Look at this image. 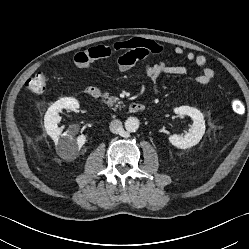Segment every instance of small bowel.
I'll use <instances>...</instances> for the list:
<instances>
[{"label": "small bowel", "mask_w": 249, "mask_h": 249, "mask_svg": "<svg viewBox=\"0 0 249 249\" xmlns=\"http://www.w3.org/2000/svg\"><path fill=\"white\" fill-rule=\"evenodd\" d=\"M163 51V47L153 40L134 38L126 41H117L109 46H96L79 52L75 55V63L80 71L87 72L91 64L98 59H106L113 54H118L117 66L119 71L125 72L132 68L137 62L147 59L150 55H157ZM174 53L182 55V47H175ZM189 62H194L200 69V74L195 77L199 85H207L214 77V71L207 64L204 55H197L194 52L185 54ZM145 71L151 82V89L159 93V79L165 75L183 76L188 74L189 69L183 65H168L164 61L155 64H147Z\"/></svg>", "instance_id": "1"}]
</instances>
